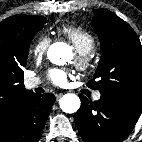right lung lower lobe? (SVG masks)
I'll list each match as a JSON object with an SVG mask.
<instances>
[{"instance_id":"1","label":"right lung lower lobe","mask_w":142,"mask_h":142,"mask_svg":"<svg viewBox=\"0 0 142 142\" xmlns=\"http://www.w3.org/2000/svg\"><path fill=\"white\" fill-rule=\"evenodd\" d=\"M54 102L53 94L28 95L19 105L8 128L0 133V141L38 142Z\"/></svg>"}]
</instances>
